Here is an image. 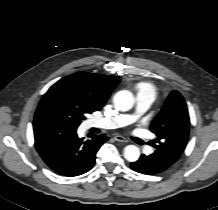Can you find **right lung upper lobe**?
<instances>
[{
    "label": "right lung upper lobe",
    "instance_id": "1",
    "mask_svg": "<svg viewBox=\"0 0 218 210\" xmlns=\"http://www.w3.org/2000/svg\"><path fill=\"white\" fill-rule=\"evenodd\" d=\"M119 82L117 76L81 71L62 78L54 86L79 99L94 112L103 107Z\"/></svg>",
    "mask_w": 218,
    "mask_h": 210
}]
</instances>
